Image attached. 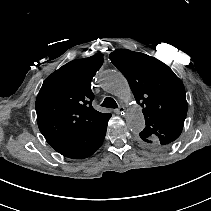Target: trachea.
Here are the masks:
<instances>
[{"label":"trachea","mask_w":211,"mask_h":211,"mask_svg":"<svg viewBox=\"0 0 211 211\" xmlns=\"http://www.w3.org/2000/svg\"><path fill=\"white\" fill-rule=\"evenodd\" d=\"M102 107H106V108H111V109H116L118 108L117 103L115 102V100L111 97H106L104 99V101L101 104Z\"/></svg>","instance_id":"1"}]
</instances>
